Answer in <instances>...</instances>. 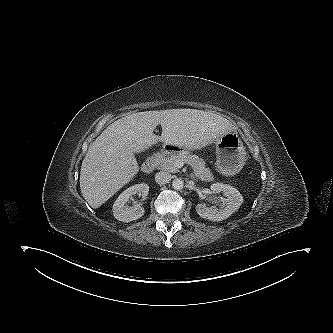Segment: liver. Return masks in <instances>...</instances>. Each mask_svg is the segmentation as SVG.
Masks as SVG:
<instances>
[{"label": "liver", "mask_w": 333, "mask_h": 333, "mask_svg": "<svg viewBox=\"0 0 333 333\" xmlns=\"http://www.w3.org/2000/svg\"><path fill=\"white\" fill-rule=\"evenodd\" d=\"M159 124L161 136L153 133ZM234 129L227 119L196 109L145 111L118 119L89 147L80 171L82 196L93 209L100 207L138 173L134 153L158 141L198 150Z\"/></svg>", "instance_id": "6515ba94"}]
</instances>
